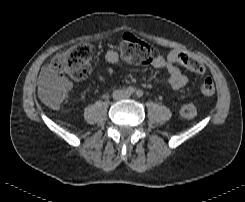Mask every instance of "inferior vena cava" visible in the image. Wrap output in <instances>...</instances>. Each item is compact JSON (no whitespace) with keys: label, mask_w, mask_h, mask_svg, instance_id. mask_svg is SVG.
Returning <instances> with one entry per match:
<instances>
[{"label":"inferior vena cava","mask_w":245,"mask_h":202,"mask_svg":"<svg viewBox=\"0 0 245 202\" xmlns=\"http://www.w3.org/2000/svg\"><path fill=\"white\" fill-rule=\"evenodd\" d=\"M123 97H125L124 91H122V90H115V91L113 92V98H114V99L118 100V99H121V98H123Z\"/></svg>","instance_id":"1"}]
</instances>
